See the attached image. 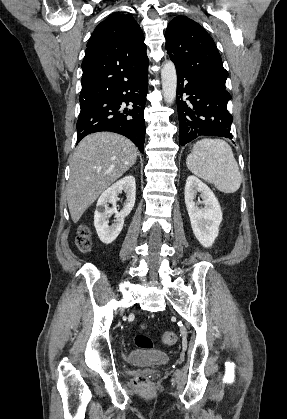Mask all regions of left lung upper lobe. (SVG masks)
<instances>
[{
    "label": "left lung upper lobe",
    "mask_w": 287,
    "mask_h": 419,
    "mask_svg": "<svg viewBox=\"0 0 287 419\" xmlns=\"http://www.w3.org/2000/svg\"><path fill=\"white\" fill-rule=\"evenodd\" d=\"M165 37L177 73L225 85L228 72L213 39L198 23L177 16L168 24Z\"/></svg>",
    "instance_id": "1"
}]
</instances>
